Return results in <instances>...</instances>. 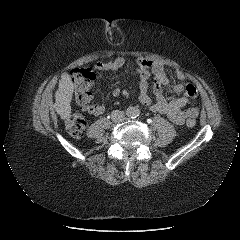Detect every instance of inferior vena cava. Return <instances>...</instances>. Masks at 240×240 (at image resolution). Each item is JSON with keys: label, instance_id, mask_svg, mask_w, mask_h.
<instances>
[{"label": "inferior vena cava", "instance_id": "inferior-vena-cava-1", "mask_svg": "<svg viewBox=\"0 0 240 240\" xmlns=\"http://www.w3.org/2000/svg\"><path fill=\"white\" fill-rule=\"evenodd\" d=\"M111 119H112L113 122L119 123V122H122V121L125 120V115L122 111L114 110L111 113Z\"/></svg>", "mask_w": 240, "mask_h": 240}]
</instances>
